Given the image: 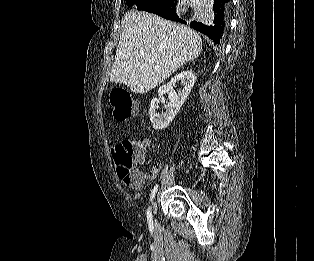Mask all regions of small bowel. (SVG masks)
Segmentation results:
<instances>
[{"mask_svg": "<svg viewBox=\"0 0 314 261\" xmlns=\"http://www.w3.org/2000/svg\"><path fill=\"white\" fill-rule=\"evenodd\" d=\"M146 148H147V146H146ZM146 148H145L143 154L138 159L139 164H143L145 162ZM160 169H161V165L159 163H154L151 171H149L147 173H143V172H141V173L144 176V180H151V179H154L156 177V175L160 172Z\"/></svg>", "mask_w": 314, "mask_h": 261, "instance_id": "c3829d8e", "label": "small bowel"}]
</instances>
